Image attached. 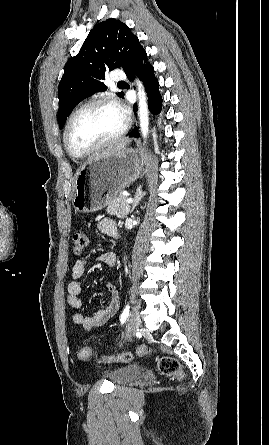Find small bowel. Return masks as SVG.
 Returning <instances> with one entry per match:
<instances>
[{"mask_svg":"<svg viewBox=\"0 0 269 445\" xmlns=\"http://www.w3.org/2000/svg\"><path fill=\"white\" fill-rule=\"evenodd\" d=\"M98 229L101 233L117 238L119 231L114 220L104 218L98 223ZM99 260L108 266H114L116 263V255L113 252H107L99 256ZM86 271V261L78 259L72 265L71 275L72 281L67 286V303L72 308L79 310L83 306L80 294L82 286L80 279L84 276ZM106 300L105 304L95 313L88 316L81 311H77L73 315L74 323L82 326L85 330H92L105 324L115 313L118 304V291L112 283L106 285Z\"/></svg>","mask_w":269,"mask_h":445,"instance_id":"obj_1","label":"small bowel"}]
</instances>
